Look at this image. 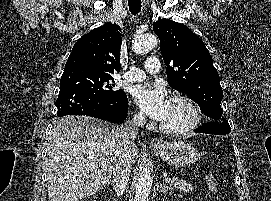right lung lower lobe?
Segmentation results:
<instances>
[{
  "label": "right lung lower lobe",
  "mask_w": 271,
  "mask_h": 201,
  "mask_svg": "<svg viewBox=\"0 0 271 201\" xmlns=\"http://www.w3.org/2000/svg\"><path fill=\"white\" fill-rule=\"evenodd\" d=\"M55 106L58 116L87 115L121 123L127 117L128 100L124 92L114 96L96 94H59Z\"/></svg>",
  "instance_id": "98d812e1"
}]
</instances>
